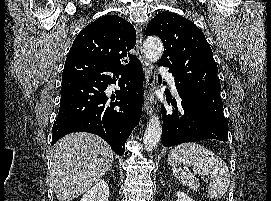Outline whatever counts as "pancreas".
Returning <instances> with one entry per match:
<instances>
[{"label":"pancreas","instance_id":"pancreas-1","mask_svg":"<svg viewBox=\"0 0 271 201\" xmlns=\"http://www.w3.org/2000/svg\"><path fill=\"white\" fill-rule=\"evenodd\" d=\"M194 190H199V185L195 186Z\"/></svg>","mask_w":271,"mask_h":201}]
</instances>
